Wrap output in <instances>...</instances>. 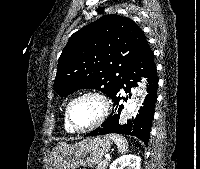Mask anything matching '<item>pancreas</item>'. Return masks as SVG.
Wrapping results in <instances>:
<instances>
[{"label": "pancreas", "mask_w": 200, "mask_h": 169, "mask_svg": "<svg viewBox=\"0 0 200 169\" xmlns=\"http://www.w3.org/2000/svg\"><path fill=\"white\" fill-rule=\"evenodd\" d=\"M108 163H109V160H103L97 165L96 169H106V167L108 166Z\"/></svg>", "instance_id": "obj_1"}]
</instances>
